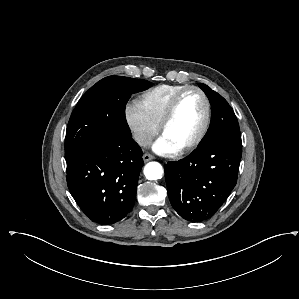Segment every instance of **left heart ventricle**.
Listing matches in <instances>:
<instances>
[{"label": "left heart ventricle", "instance_id": "left-heart-ventricle-1", "mask_svg": "<svg viewBox=\"0 0 299 299\" xmlns=\"http://www.w3.org/2000/svg\"><path fill=\"white\" fill-rule=\"evenodd\" d=\"M204 102L195 91L186 93L180 100L176 113L162 136L180 148L199 131L204 119Z\"/></svg>", "mask_w": 299, "mask_h": 299}]
</instances>
